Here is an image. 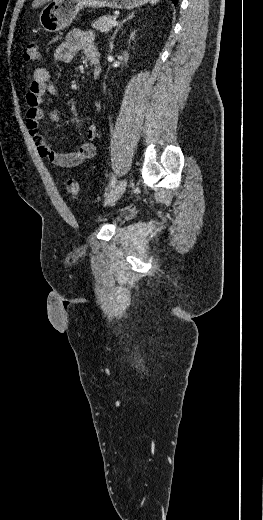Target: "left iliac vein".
Wrapping results in <instances>:
<instances>
[{"label": "left iliac vein", "mask_w": 263, "mask_h": 520, "mask_svg": "<svg viewBox=\"0 0 263 520\" xmlns=\"http://www.w3.org/2000/svg\"><path fill=\"white\" fill-rule=\"evenodd\" d=\"M127 187V181L125 179L119 181L108 193L105 198L104 205L109 206L115 203L124 193Z\"/></svg>", "instance_id": "4c4485c4"}]
</instances>
